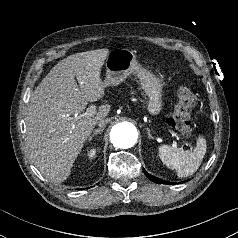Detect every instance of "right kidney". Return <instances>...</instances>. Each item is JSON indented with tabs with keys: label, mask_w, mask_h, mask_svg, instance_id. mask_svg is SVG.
<instances>
[{
	"label": "right kidney",
	"mask_w": 238,
	"mask_h": 238,
	"mask_svg": "<svg viewBox=\"0 0 238 238\" xmlns=\"http://www.w3.org/2000/svg\"><path fill=\"white\" fill-rule=\"evenodd\" d=\"M95 154H96V149L93 148L90 151H88L87 156L89 158H93L95 156Z\"/></svg>",
	"instance_id": "obj_1"
}]
</instances>
